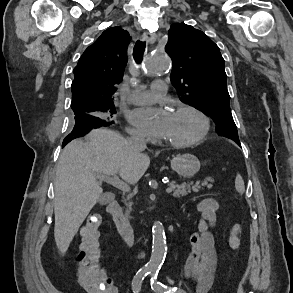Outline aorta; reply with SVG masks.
<instances>
[{
    "instance_id": "aorta-1",
    "label": "aorta",
    "mask_w": 293,
    "mask_h": 293,
    "mask_svg": "<svg viewBox=\"0 0 293 293\" xmlns=\"http://www.w3.org/2000/svg\"><path fill=\"white\" fill-rule=\"evenodd\" d=\"M171 61L165 52L152 51L144 62L143 73L147 77L162 75L169 70ZM152 253L147 268L151 271L158 270L166 256V236L164 227L160 222H155L152 227Z\"/></svg>"
}]
</instances>
